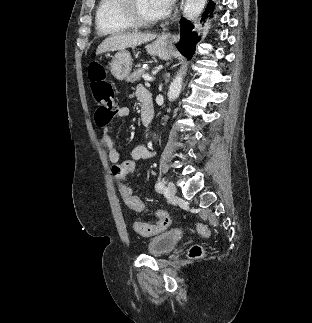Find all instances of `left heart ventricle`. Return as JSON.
I'll return each instance as SVG.
<instances>
[{
	"label": "left heart ventricle",
	"mask_w": 312,
	"mask_h": 323,
	"mask_svg": "<svg viewBox=\"0 0 312 323\" xmlns=\"http://www.w3.org/2000/svg\"><path fill=\"white\" fill-rule=\"evenodd\" d=\"M137 7L134 8L135 14H140V18H155L156 2L151 0H136Z\"/></svg>",
	"instance_id": "b2bd125f"
}]
</instances>
